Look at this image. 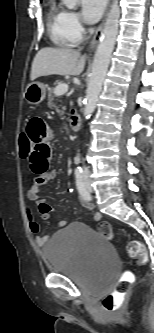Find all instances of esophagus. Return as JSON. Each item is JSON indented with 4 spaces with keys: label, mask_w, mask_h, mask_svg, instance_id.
Returning <instances> with one entry per match:
<instances>
[{
    "label": "esophagus",
    "mask_w": 154,
    "mask_h": 333,
    "mask_svg": "<svg viewBox=\"0 0 154 333\" xmlns=\"http://www.w3.org/2000/svg\"><path fill=\"white\" fill-rule=\"evenodd\" d=\"M110 3H111V0H108V7H107V10L105 12V15H104V18L101 22V24L99 25V27L97 28V31L90 43V46H89V49L90 50H93L96 46V44L98 43L101 35H102V32H103V28H104V24H105V20H106V16H107V12H108V9H109V6H110Z\"/></svg>",
    "instance_id": "obj_1"
}]
</instances>
